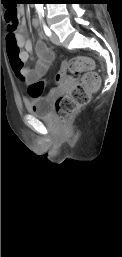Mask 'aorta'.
<instances>
[{"label": "aorta", "mask_w": 122, "mask_h": 257, "mask_svg": "<svg viewBox=\"0 0 122 257\" xmlns=\"http://www.w3.org/2000/svg\"><path fill=\"white\" fill-rule=\"evenodd\" d=\"M38 12H43V4H35Z\"/></svg>", "instance_id": "1"}]
</instances>
